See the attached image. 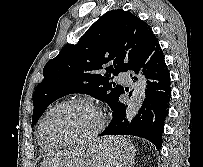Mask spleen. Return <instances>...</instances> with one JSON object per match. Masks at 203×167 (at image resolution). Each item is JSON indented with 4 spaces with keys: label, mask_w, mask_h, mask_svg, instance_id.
<instances>
[{
    "label": "spleen",
    "mask_w": 203,
    "mask_h": 167,
    "mask_svg": "<svg viewBox=\"0 0 203 167\" xmlns=\"http://www.w3.org/2000/svg\"><path fill=\"white\" fill-rule=\"evenodd\" d=\"M134 153L135 151L129 143L119 147L115 153V167H131L134 160Z\"/></svg>",
    "instance_id": "spleen-1"
}]
</instances>
